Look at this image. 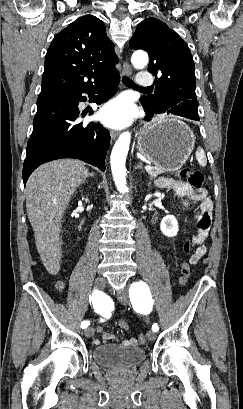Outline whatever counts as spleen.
I'll use <instances>...</instances> for the list:
<instances>
[{
	"mask_svg": "<svg viewBox=\"0 0 243 409\" xmlns=\"http://www.w3.org/2000/svg\"><path fill=\"white\" fill-rule=\"evenodd\" d=\"M195 156H196V159H197L199 165L201 167H205L206 164H207V159H206V156H205V152L201 147H199L197 149Z\"/></svg>",
	"mask_w": 243,
	"mask_h": 409,
	"instance_id": "3e777b00",
	"label": "spleen"
}]
</instances>
